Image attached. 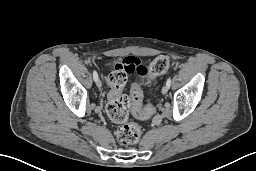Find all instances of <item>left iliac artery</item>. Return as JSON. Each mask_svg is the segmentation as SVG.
Returning <instances> with one entry per match:
<instances>
[{
  "mask_svg": "<svg viewBox=\"0 0 256 171\" xmlns=\"http://www.w3.org/2000/svg\"><path fill=\"white\" fill-rule=\"evenodd\" d=\"M166 85H167L168 87H170V85H171V78H170V77L167 79Z\"/></svg>",
  "mask_w": 256,
  "mask_h": 171,
  "instance_id": "obj_1",
  "label": "left iliac artery"
}]
</instances>
